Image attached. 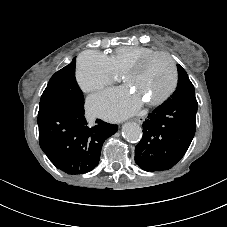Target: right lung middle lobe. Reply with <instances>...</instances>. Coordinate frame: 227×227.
Wrapping results in <instances>:
<instances>
[{"label":"right lung middle lobe","instance_id":"dd1d6c3e","mask_svg":"<svg viewBox=\"0 0 227 227\" xmlns=\"http://www.w3.org/2000/svg\"><path fill=\"white\" fill-rule=\"evenodd\" d=\"M75 63L73 58L70 64L51 77L41 96L39 112L65 104H84L83 94L75 79Z\"/></svg>","mask_w":227,"mask_h":227}]
</instances>
